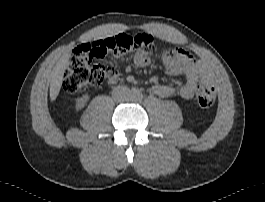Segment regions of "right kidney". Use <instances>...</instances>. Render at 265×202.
Listing matches in <instances>:
<instances>
[{
	"mask_svg": "<svg viewBox=\"0 0 265 202\" xmlns=\"http://www.w3.org/2000/svg\"><path fill=\"white\" fill-rule=\"evenodd\" d=\"M89 97L88 95H84L80 99L77 100L76 102V109L80 110L85 106V103L88 101Z\"/></svg>",
	"mask_w": 265,
	"mask_h": 202,
	"instance_id": "right-kidney-1",
	"label": "right kidney"
}]
</instances>
